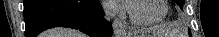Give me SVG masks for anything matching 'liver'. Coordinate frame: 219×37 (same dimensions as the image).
<instances>
[{"label": "liver", "instance_id": "1", "mask_svg": "<svg viewBox=\"0 0 219 37\" xmlns=\"http://www.w3.org/2000/svg\"><path fill=\"white\" fill-rule=\"evenodd\" d=\"M44 37H85V34L63 28H57L43 33Z\"/></svg>", "mask_w": 219, "mask_h": 37}]
</instances>
